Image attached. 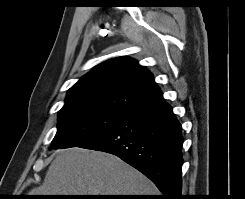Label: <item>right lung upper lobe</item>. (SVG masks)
<instances>
[{
    "mask_svg": "<svg viewBox=\"0 0 245 199\" xmlns=\"http://www.w3.org/2000/svg\"><path fill=\"white\" fill-rule=\"evenodd\" d=\"M163 100L148 70L132 59L115 57L100 63L74 84L62 109L94 105L130 114Z\"/></svg>",
    "mask_w": 245,
    "mask_h": 199,
    "instance_id": "1",
    "label": "right lung upper lobe"
}]
</instances>
